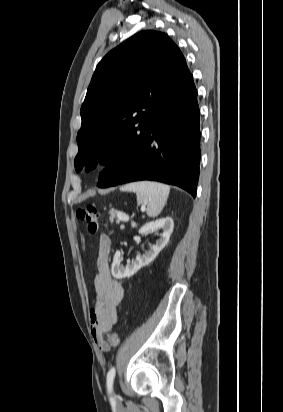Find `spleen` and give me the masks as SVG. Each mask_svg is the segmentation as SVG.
<instances>
[{
	"instance_id": "1",
	"label": "spleen",
	"mask_w": 283,
	"mask_h": 412,
	"mask_svg": "<svg viewBox=\"0 0 283 412\" xmlns=\"http://www.w3.org/2000/svg\"><path fill=\"white\" fill-rule=\"evenodd\" d=\"M120 190L136 193L137 203H147V215L154 218L163 210L169 196L170 187L158 182L139 181L126 184Z\"/></svg>"
}]
</instances>
